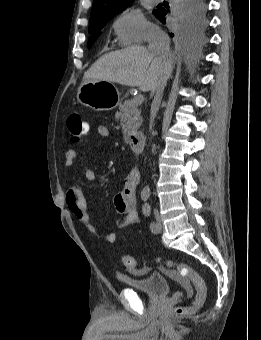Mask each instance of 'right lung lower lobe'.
Wrapping results in <instances>:
<instances>
[{
    "mask_svg": "<svg viewBox=\"0 0 261 340\" xmlns=\"http://www.w3.org/2000/svg\"><path fill=\"white\" fill-rule=\"evenodd\" d=\"M187 0H179V3L182 4L184 2H186ZM204 2V0H202ZM205 4V2H204ZM206 8V5H205ZM168 13V8H160L157 10L155 16L164 24L165 23V16ZM171 36L173 37V34H171Z\"/></svg>",
    "mask_w": 261,
    "mask_h": 340,
    "instance_id": "obj_1",
    "label": "right lung lower lobe"
}]
</instances>
